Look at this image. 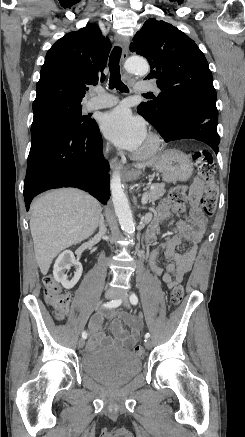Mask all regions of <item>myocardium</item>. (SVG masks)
<instances>
[{
  "label": "myocardium",
  "mask_w": 245,
  "mask_h": 437,
  "mask_svg": "<svg viewBox=\"0 0 245 437\" xmlns=\"http://www.w3.org/2000/svg\"><path fill=\"white\" fill-rule=\"evenodd\" d=\"M147 147L144 150L137 151L135 158L146 160L154 157L162 147V138L155 132H150L146 137Z\"/></svg>",
  "instance_id": "myocardium-1"
}]
</instances>
